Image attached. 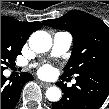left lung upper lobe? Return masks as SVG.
Returning a JSON list of instances; mask_svg holds the SVG:
<instances>
[{"mask_svg":"<svg viewBox=\"0 0 109 109\" xmlns=\"http://www.w3.org/2000/svg\"><path fill=\"white\" fill-rule=\"evenodd\" d=\"M55 29L69 31L74 50L64 68L63 78L89 70L109 72V27L100 19L79 10H71L58 19L43 21Z\"/></svg>","mask_w":109,"mask_h":109,"instance_id":"obj_1","label":"left lung upper lobe"}]
</instances>
